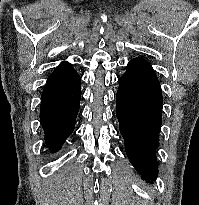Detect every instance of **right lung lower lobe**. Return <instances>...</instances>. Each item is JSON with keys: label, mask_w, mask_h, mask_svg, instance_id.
Segmentation results:
<instances>
[{"label": "right lung lower lobe", "mask_w": 199, "mask_h": 205, "mask_svg": "<svg viewBox=\"0 0 199 205\" xmlns=\"http://www.w3.org/2000/svg\"><path fill=\"white\" fill-rule=\"evenodd\" d=\"M53 72L41 95L40 122L45 133V143L55 152L73 132L81 88L80 76L76 71L65 74Z\"/></svg>", "instance_id": "98d812e1"}]
</instances>
